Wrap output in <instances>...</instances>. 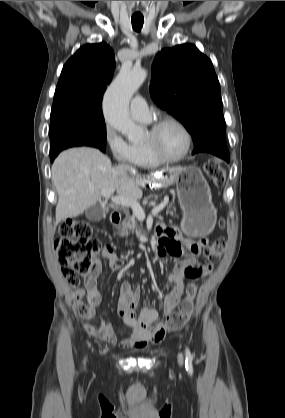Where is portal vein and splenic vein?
<instances>
[{"mask_svg": "<svg viewBox=\"0 0 285 418\" xmlns=\"http://www.w3.org/2000/svg\"><path fill=\"white\" fill-rule=\"evenodd\" d=\"M114 193V190H102L101 195L105 198L111 197V201L115 205H121L123 207H131L133 214L139 219L140 221H143L145 219V212L140 206V204L134 200L129 198H124L120 196H112ZM168 200H164L159 205L155 206L151 214L153 216H156L161 210L164 209V207L167 205Z\"/></svg>", "mask_w": 285, "mask_h": 418, "instance_id": "18ae733b", "label": "portal vein and splenic vein"}]
</instances>
